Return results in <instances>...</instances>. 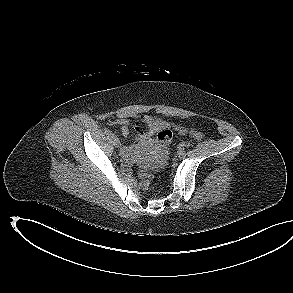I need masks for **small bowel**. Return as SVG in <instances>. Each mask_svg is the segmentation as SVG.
I'll return each mask as SVG.
<instances>
[{
  "mask_svg": "<svg viewBox=\"0 0 293 293\" xmlns=\"http://www.w3.org/2000/svg\"><path fill=\"white\" fill-rule=\"evenodd\" d=\"M142 123L146 126L145 130H142L141 127L137 124L135 126V141L136 143H145L151 139L152 136L157 134L160 130L171 127L172 125L167 121H164L160 118L144 115L141 117ZM110 126L120 127V132L123 136L129 134V121L124 118H118L111 120L109 122ZM181 135L186 133V129L182 126H173Z\"/></svg>",
  "mask_w": 293,
  "mask_h": 293,
  "instance_id": "c3829d8e",
  "label": "small bowel"
}]
</instances>
